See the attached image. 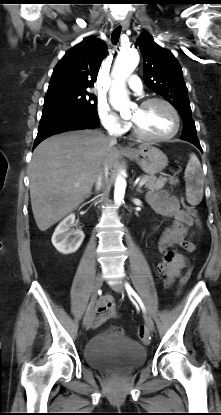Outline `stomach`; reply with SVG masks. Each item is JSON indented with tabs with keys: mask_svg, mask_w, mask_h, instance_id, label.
<instances>
[{
	"mask_svg": "<svg viewBox=\"0 0 221 415\" xmlns=\"http://www.w3.org/2000/svg\"><path fill=\"white\" fill-rule=\"evenodd\" d=\"M124 155L151 176L161 172L168 165L167 156L151 144H142L137 149L125 152Z\"/></svg>",
	"mask_w": 221,
	"mask_h": 415,
	"instance_id": "obj_1",
	"label": "stomach"
}]
</instances>
